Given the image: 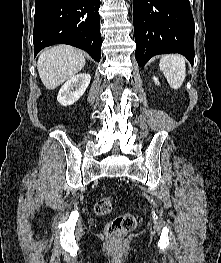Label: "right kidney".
I'll return each instance as SVG.
<instances>
[{"label": "right kidney", "mask_w": 221, "mask_h": 263, "mask_svg": "<svg viewBox=\"0 0 221 263\" xmlns=\"http://www.w3.org/2000/svg\"><path fill=\"white\" fill-rule=\"evenodd\" d=\"M91 77L87 73L70 78L59 90L57 100L63 106H69L78 101L89 86Z\"/></svg>", "instance_id": "ca27d5eb"}]
</instances>
